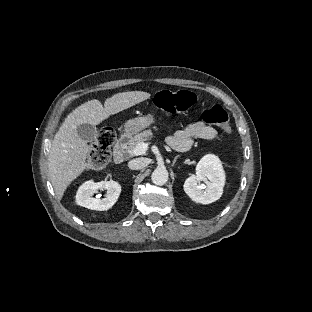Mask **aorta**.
Returning a JSON list of instances; mask_svg holds the SVG:
<instances>
[{"mask_svg": "<svg viewBox=\"0 0 312 312\" xmlns=\"http://www.w3.org/2000/svg\"><path fill=\"white\" fill-rule=\"evenodd\" d=\"M151 181L154 185L162 186L168 181V172L164 167L156 168L152 175Z\"/></svg>", "mask_w": 312, "mask_h": 312, "instance_id": "762f6f07", "label": "aorta"}]
</instances>
